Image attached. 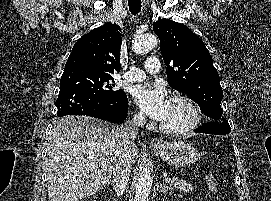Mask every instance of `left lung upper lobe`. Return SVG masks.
I'll list each match as a JSON object with an SVG mask.
<instances>
[{
    "mask_svg": "<svg viewBox=\"0 0 271 201\" xmlns=\"http://www.w3.org/2000/svg\"><path fill=\"white\" fill-rule=\"evenodd\" d=\"M153 30L160 40L169 85L191 96L204 114L217 121L203 125H216L222 135L228 134L229 123L221 118L219 74L203 41L187 26L170 19H158Z\"/></svg>",
    "mask_w": 271,
    "mask_h": 201,
    "instance_id": "1",
    "label": "left lung upper lobe"
}]
</instances>
